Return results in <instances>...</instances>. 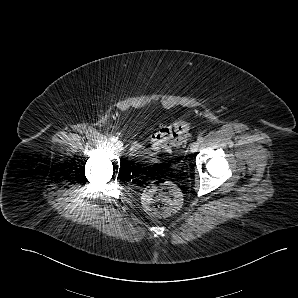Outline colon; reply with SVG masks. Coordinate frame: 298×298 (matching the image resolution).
Wrapping results in <instances>:
<instances>
[{
	"instance_id": "colon-1",
	"label": "colon",
	"mask_w": 298,
	"mask_h": 298,
	"mask_svg": "<svg viewBox=\"0 0 298 298\" xmlns=\"http://www.w3.org/2000/svg\"><path fill=\"white\" fill-rule=\"evenodd\" d=\"M189 123L177 120L162 127L151 138L155 151L169 150L186 142L189 135ZM145 210L154 216H168L179 210L182 194L170 181L157 180L149 185L142 196Z\"/></svg>"
}]
</instances>
